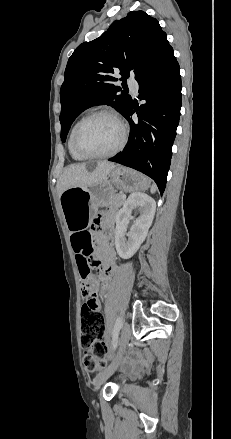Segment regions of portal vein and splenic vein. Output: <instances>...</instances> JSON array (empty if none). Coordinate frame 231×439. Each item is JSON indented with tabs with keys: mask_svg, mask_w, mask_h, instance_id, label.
I'll use <instances>...</instances> for the list:
<instances>
[{
	"mask_svg": "<svg viewBox=\"0 0 231 439\" xmlns=\"http://www.w3.org/2000/svg\"><path fill=\"white\" fill-rule=\"evenodd\" d=\"M121 197H122V199H125V198H126V196H125L124 194H123Z\"/></svg>",
	"mask_w": 231,
	"mask_h": 439,
	"instance_id": "1",
	"label": "portal vein and splenic vein"
}]
</instances>
